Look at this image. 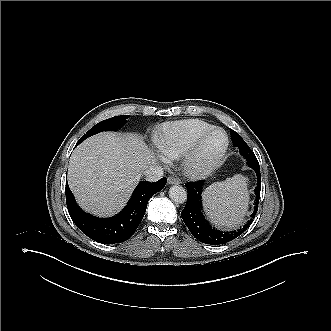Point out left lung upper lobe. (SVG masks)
Listing matches in <instances>:
<instances>
[{"label":"left lung upper lobe","mask_w":331,"mask_h":331,"mask_svg":"<svg viewBox=\"0 0 331 331\" xmlns=\"http://www.w3.org/2000/svg\"><path fill=\"white\" fill-rule=\"evenodd\" d=\"M231 136H235L237 138H240L244 142V145L240 149V152L246 158L247 162H250V163H253V164H259L256 156L251 151V149L249 148V146L245 143V141L240 137V135L237 134L234 130H231Z\"/></svg>","instance_id":"1"}]
</instances>
